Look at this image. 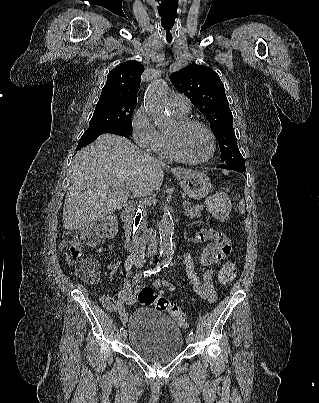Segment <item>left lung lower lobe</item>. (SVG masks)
<instances>
[{
	"label": "left lung lower lobe",
	"mask_w": 319,
	"mask_h": 403,
	"mask_svg": "<svg viewBox=\"0 0 319 403\" xmlns=\"http://www.w3.org/2000/svg\"><path fill=\"white\" fill-rule=\"evenodd\" d=\"M217 168H225L227 170H234V171H237V172H241L244 175H245V172H246L245 166H237V165L227 164V163L218 165Z\"/></svg>",
	"instance_id": "1"
}]
</instances>
